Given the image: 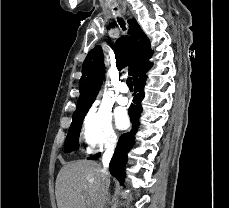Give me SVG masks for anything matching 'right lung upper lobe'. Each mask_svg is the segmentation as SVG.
Instances as JSON below:
<instances>
[{
    "instance_id": "cb5924a9",
    "label": "right lung upper lobe",
    "mask_w": 229,
    "mask_h": 208,
    "mask_svg": "<svg viewBox=\"0 0 229 208\" xmlns=\"http://www.w3.org/2000/svg\"><path fill=\"white\" fill-rule=\"evenodd\" d=\"M130 24L129 37H121L114 45L116 66L119 70L129 66V74L133 80L143 76L152 67L148 61L153 51L150 41L135 19ZM104 58L99 45L89 51L82 66V77L79 82L80 96L73 120L85 117L91 104L94 102L100 84L104 78ZM72 120V121H73Z\"/></svg>"
}]
</instances>
